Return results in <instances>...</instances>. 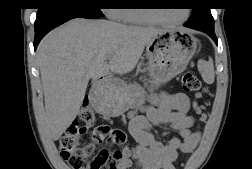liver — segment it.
I'll use <instances>...</instances> for the list:
<instances>
[{"label": "liver", "instance_id": "liver-1", "mask_svg": "<svg viewBox=\"0 0 252 169\" xmlns=\"http://www.w3.org/2000/svg\"><path fill=\"white\" fill-rule=\"evenodd\" d=\"M161 31L75 18L48 33L37 48V60L50 138L58 140L76 118L90 79L131 72L147 43Z\"/></svg>", "mask_w": 252, "mask_h": 169}]
</instances>
